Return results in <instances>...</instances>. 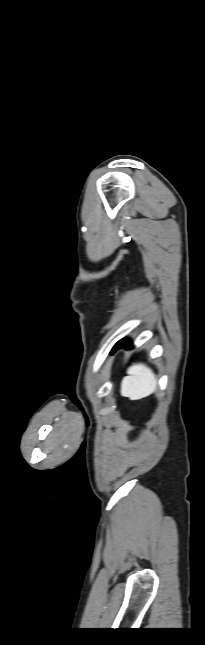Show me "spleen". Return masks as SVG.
Segmentation results:
<instances>
[{
    "instance_id": "1",
    "label": "spleen",
    "mask_w": 205,
    "mask_h": 645,
    "mask_svg": "<svg viewBox=\"0 0 205 645\" xmlns=\"http://www.w3.org/2000/svg\"><path fill=\"white\" fill-rule=\"evenodd\" d=\"M128 376L121 383V394L131 400H138L152 394L157 387L153 371L145 365L133 364L127 370Z\"/></svg>"
}]
</instances>
